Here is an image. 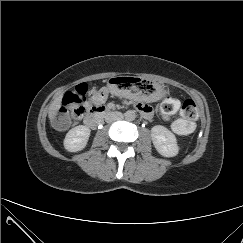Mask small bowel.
Returning <instances> with one entry per match:
<instances>
[{
    "instance_id": "c3829d8e",
    "label": "small bowel",
    "mask_w": 243,
    "mask_h": 243,
    "mask_svg": "<svg viewBox=\"0 0 243 243\" xmlns=\"http://www.w3.org/2000/svg\"><path fill=\"white\" fill-rule=\"evenodd\" d=\"M108 91L106 88H101L93 92V96L90 99L88 105L93 104L95 106H101L107 99ZM138 111L147 119L152 117V109L149 105L138 103L137 104Z\"/></svg>"
}]
</instances>
